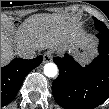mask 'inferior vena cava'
Returning <instances> with one entry per match:
<instances>
[{
	"instance_id": "1",
	"label": "inferior vena cava",
	"mask_w": 109,
	"mask_h": 109,
	"mask_svg": "<svg viewBox=\"0 0 109 109\" xmlns=\"http://www.w3.org/2000/svg\"><path fill=\"white\" fill-rule=\"evenodd\" d=\"M36 51L37 49L32 46L18 47L16 49V54L23 59H33L36 57Z\"/></svg>"
}]
</instances>
